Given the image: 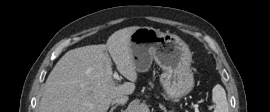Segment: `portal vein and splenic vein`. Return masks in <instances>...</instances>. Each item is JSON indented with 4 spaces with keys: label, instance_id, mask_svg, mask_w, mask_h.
Instances as JSON below:
<instances>
[{
    "label": "portal vein and splenic vein",
    "instance_id": "portal-vein-and-splenic-vein-1",
    "mask_svg": "<svg viewBox=\"0 0 270 112\" xmlns=\"http://www.w3.org/2000/svg\"><path fill=\"white\" fill-rule=\"evenodd\" d=\"M113 77H114L115 80H119L120 79L117 72H114ZM193 107L195 108V112H199L198 105L197 104H193Z\"/></svg>",
    "mask_w": 270,
    "mask_h": 112
}]
</instances>
